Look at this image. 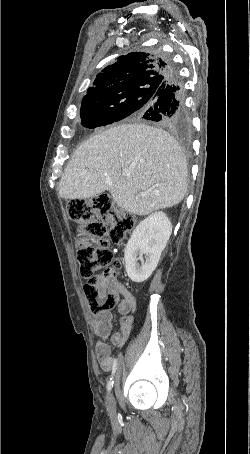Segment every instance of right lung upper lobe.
Wrapping results in <instances>:
<instances>
[{"label":"right lung upper lobe","mask_w":250,"mask_h":454,"mask_svg":"<svg viewBox=\"0 0 250 454\" xmlns=\"http://www.w3.org/2000/svg\"><path fill=\"white\" fill-rule=\"evenodd\" d=\"M170 72L169 64L158 53L141 51L120 56L97 75L81 105L117 99L145 84L161 86Z\"/></svg>","instance_id":"obj_1"}]
</instances>
